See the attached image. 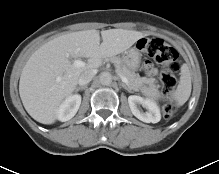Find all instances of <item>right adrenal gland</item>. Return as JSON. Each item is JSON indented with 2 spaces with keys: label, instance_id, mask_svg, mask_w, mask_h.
Returning a JSON list of instances; mask_svg holds the SVG:
<instances>
[{
  "label": "right adrenal gland",
  "instance_id": "obj_1",
  "mask_svg": "<svg viewBox=\"0 0 219 174\" xmlns=\"http://www.w3.org/2000/svg\"><path fill=\"white\" fill-rule=\"evenodd\" d=\"M86 89V86H79V87H76L75 91L78 92L80 90H85Z\"/></svg>",
  "mask_w": 219,
  "mask_h": 174
}]
</instances>
